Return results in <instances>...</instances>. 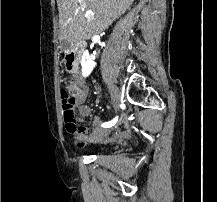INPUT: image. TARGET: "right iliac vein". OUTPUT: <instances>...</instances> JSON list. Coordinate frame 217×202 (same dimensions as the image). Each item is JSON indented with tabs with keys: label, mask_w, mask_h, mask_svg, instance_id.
Returning a JSON list of instances; mask_svg holds the SVG:
<instances>
[{
	"label": "right iliac vein",
	"mask_w": 217,
	"mask_h": 202,
	"mask_svg": "<svg viewBox=\"0 0 217 202\" xmlns=\"http://www.w3.org/2000/svg\"><path fill=\"white\" fill-rule=\"evenodd\" d=\"M111 92H112L113 106L115 110H117L121 99V93L116 86H111Z\"/></svg>",
	"instance_id": "63e3f726"
}]
</instances>
